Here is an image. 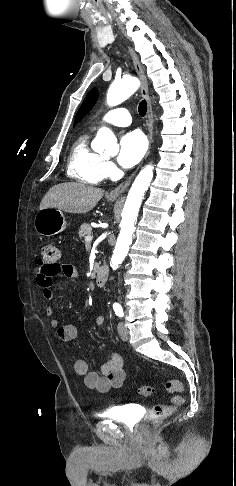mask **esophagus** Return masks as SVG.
Masks as SVG:
<instances>
[{"label": "esophagus", "mask_w": 236, "mask_h": 486, "mask_svg": "<svg viewBox=\"0 0 236 486\" xmlns=\"http://www.w3.org/2000/svg\"><path fill=\"white\" fill-rule=\"evenodd\" d=\"M129 53L131 55V58L133 60L134 67L136 69V72L138 76L141 79V94L142 96L146 99L147 101V127H148V139H149V148L151 147V144L153 142V125H154V116H153V110H152V104H151V99L149 97L148 93V83L147 79L144 73V69L140 63L138 55L134 52V50L128 46ZM149 153V151H148ZM147 153V155H148ZM137 171H135L130 177H128L124 182H122L119 186H117L115 189L111 190L108 193V196L111 198H117L121 196L125 190L128 188L130 185L132 179L134 178L135 174Z\"/></svg>", "instance_id": "34e87169"}]
</instances>
